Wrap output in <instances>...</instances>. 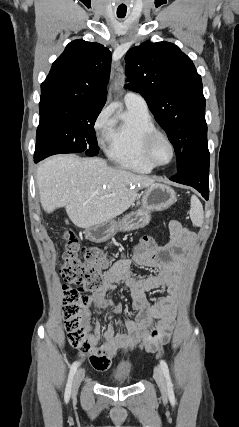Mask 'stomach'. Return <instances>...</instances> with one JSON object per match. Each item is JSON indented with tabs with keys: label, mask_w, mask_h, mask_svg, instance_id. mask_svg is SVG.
I'll return each instance as SVG.
<instances>
[{
	"label": "stomach",
	"mask_w": 239,
	"mask_h": 427,
	"mask_svg": "<svg viewBox=\"0 0 239 427\" xmlns=\"http://www.w3.org/2000/svg\"><path fill=\"white\" fill-rule=\"evenodd\" d=\"M176 201V193L170 186L153 183L145 190L140 209L123 216L118 221L109 220L87 228L85 237L91 242L101 243L119 231L125 232L143 228L149 224L152 212L166 210Z\"/></svg>",
	"instance_id": "stomach-1"
}]
</instances>
